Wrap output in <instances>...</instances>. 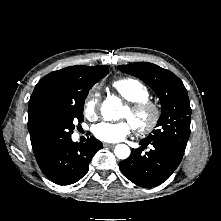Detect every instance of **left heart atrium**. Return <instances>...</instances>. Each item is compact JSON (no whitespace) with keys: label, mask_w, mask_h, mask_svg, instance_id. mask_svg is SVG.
<instances>
[{"label":"left heart atrium","mask_w":221,"mask_h":221,"mask_svg":"<svg viewBox=\"0 0 221 221\" xmlns=\"http://www.w3.org/2000/svg\"><path fill=\"white\" fill-rule=\"evenodd\" d=\"M132 131V124L128 121L100 122L93 126L94 136L104 142L115 143L123 140Z\"/></svg>","instance_id":"1"}]
</instances>
